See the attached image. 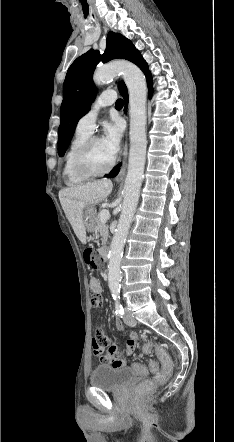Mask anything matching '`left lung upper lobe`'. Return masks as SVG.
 <instances>
[{
  "instance_id": "obj_1",
  "label": "left lung upper lobe",
  "mask_w": 234,
  "mask_h": 442,
  "mask_svg": "<svg viewBox=\"0 0 234 442\" xmlns=\"http://www.w3.org/2000/svg\"><path fill=\"white\" fill-rule=\"evenodd\" d=\"M126 59L138 67L144 62L140 52L130 40L119 33L109 32L107 46L101 56L96 50H89L78 57L69 67L63 85V101L61 105V123L58 130V154L63 156L73 137L78 120L88 112L96 89L92 85V75L100 59L108 62L112 59ZM124 84L121 81L120 89Z\"/></svg>"
}]
</instances>
